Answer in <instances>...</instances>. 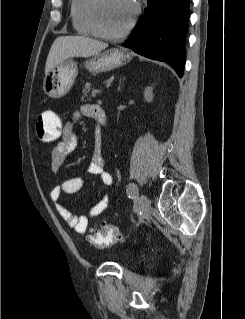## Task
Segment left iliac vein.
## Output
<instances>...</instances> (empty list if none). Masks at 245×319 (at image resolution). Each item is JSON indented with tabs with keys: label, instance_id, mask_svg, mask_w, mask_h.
Wrapping results in <instances>:
<instances>
[{
	"label": "left iliac vein",
	"instance_id": "4c4485c4",
	"mask_svg": "<svg viewBox=\"0 0 245 319\" xmlns=\"http://www.w3.org/2000/svg\"><path fill=\"white\" fill-rule=\"evenodd\" d=\"M139 209L141 212L139 221L142 222L148 216L150 210V201L144 194L139 197Z\"/></svg>",
	"mask_w": 245,
	"mask_h": 319
}]
</instances>
